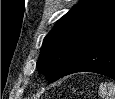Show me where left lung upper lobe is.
Returning a JSON list of instances; mask_svg holds the SVG:
<instances>
[{"mask_svg": "<svg viewBox=\"0 0 115 99\" xmlns=\"http://www.w3.org/2000/svg\"><path fill=\"white\" fill-rule=\"evenodd\" d=\"M115 27V0H81L44 38L37 61L50 83L58 80L93 43Z\"/></svg>", "mask_w": 115, "mask_h": 99, "instance_id": "obj_1", "label": "left lung upper lobe"}]
</instances>
